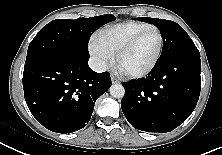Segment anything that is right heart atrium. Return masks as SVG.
<instances>
[{"mask_svg": "<svg viewBox=\"0 0 222 155\" xmlns=\"http://www.w3.org/2000/svg\"><path fill=\"white\" fill-rule=\"evenodd\" d=\"M89 52L97 70H104L112 61L113 54L102 44L97 36L89 41Z\"/></svg>", "mask_w": 222, "mask_h": 155, "instance_id": "right-heart-atrium-1", "label": "right heart atrium"}]
</instances>
